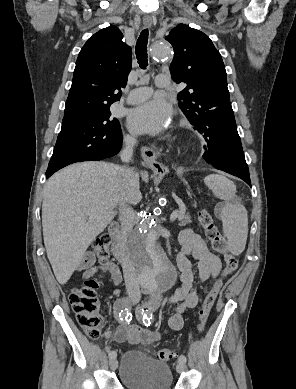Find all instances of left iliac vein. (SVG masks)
<instances>
[{"label":"left iliac vein","instance_id":"4c4485c4","mask_svg":"<svg viewBox=\"0 0 296 389\" xmlns=\"http://www.w3.org/2000/svg\"><path fill=\"white\" fill-rule=\"evenodd\" d=\"M186 366H185V363L183 362H178L177 366H176V371L178 373H182L184 370H185Z\"/></svg>","mask_w":296,"mask_h":389}]
</instances>
